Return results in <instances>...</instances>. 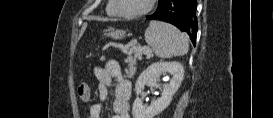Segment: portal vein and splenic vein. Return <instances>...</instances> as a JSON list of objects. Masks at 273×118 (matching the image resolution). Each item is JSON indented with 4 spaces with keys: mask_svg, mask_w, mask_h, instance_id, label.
Instances as JSON below:
<instances>
[{
    "mask_svg": "<svg viewBox=\"0 0 273 118\" xmlns=\"http://www.w3.org/2000/svg\"><path fill=\"white\" fill-rule=\"evenodd\" d=\"M141 51H143L144 54H148V53L151 52V49L144 47V48L141 49Z\"/></svg>",
    "mask_w": 273,
    "mask_h": 118,
    "instance_id": "portal-vein-and-splenic-vein-1",
    "label": "portal vein and splenic vein"
}]
</instances>
